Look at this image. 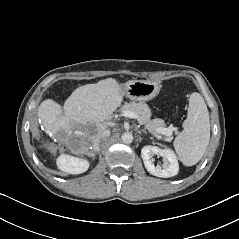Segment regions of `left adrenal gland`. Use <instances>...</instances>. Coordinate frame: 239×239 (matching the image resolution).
<instances>
[{
    "instance_id": "left-adrenal-gland-1",
    "label": "left adrenal gland",
    "mask_w": 239,
    "mask_h": 239,
    "mask_svg": "<svg viewBox=\"0 0 239 239\" xmlns=\"http://www.w3.org/2000/svg\"><path fill=\"white\" fill-rule=\"evenodd\" d=\"M140 132H141V131H139V133H140ZM142 132H144L145 134H147L146 130H144V129L142 130Z\"/></svg>"
}]
</instances>
